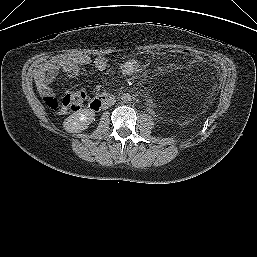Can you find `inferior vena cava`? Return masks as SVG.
Here are the masks:
<instances>
[{
    "label": "inferior vena cava",
    "mask_w": 257,
    "mask_h": 257,
    "mask_svg": "<svg viewBox=\"0 0 257 257\" xmlns=\"http://www.w3.org/2000/svg\"><path fill=\"white\" fill-rule=\"evenodd\" d=\"M114 103H115V100H112L109 102L108 106L114 105Z\"/></svg>",
    "instance_id": "obj_1"
}]
</instances>
